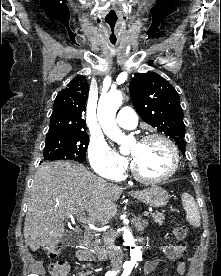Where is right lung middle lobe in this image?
<instances>
[{
    "mask_svg": "<svg viewBox=\"0 0 221 276\" xmlns=\"http://www.w3.org/2000/svg\"><path fill=\"white\" fill-rule=\"evenodd\" d=\"M89 137L86 132L66 135L47 136L43 152L44 161L71 159L83 162Z\"/></svg>",
    "mask_w": 221,
    "mask_h": 276,
    "instance_id": "1",
    "label": "right lung middle lobe"
}]
</instances>
